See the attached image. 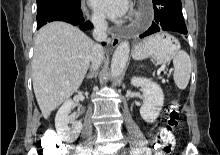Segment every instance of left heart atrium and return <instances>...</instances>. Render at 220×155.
Instances as JSON below:
<instances>
[{"mask_svg": "<svg viewBox=\"0 0 220 155\" xmlns=\"http://www.w3.org/2000/svg\"><path fill=\"white\" fill-rule=\"evenodd\" d=\"M90 3L97 11L111 18H122L132 8L130 0H90Z\"/></svg>", "mask_w": 220, "mask_h": 155, "instance_id": "39dd6f15", "label": "left heart atrium"}]
</instances>
